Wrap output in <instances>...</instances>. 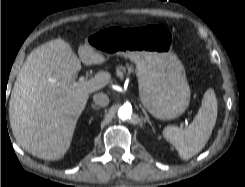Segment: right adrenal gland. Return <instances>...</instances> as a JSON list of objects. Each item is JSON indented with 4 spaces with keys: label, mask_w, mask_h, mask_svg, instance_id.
I'll return each instance as SVG.
<instances>
[{
    "label": "right adrenal gland",
    "mask_w": 245,
    "mask_h": 187,
    "mask_svg": "<svg viewBox=\"0 0 245 187\" xmlns=\"http://www.w3.org/2000/svg\"><path fill=\"white\" fill-rule=\"evenodd\" d=\"M91 108L94 110H99V107L95 106L94 104L91 105Z\"/></svg>",
    "instance_id": "2a0ac1e0"
}]
</instances>
